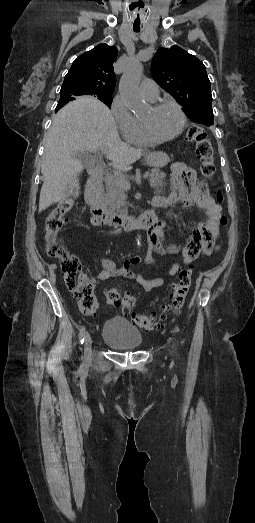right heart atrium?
<instances>
[{
  "label": "right heart atrium",
  "instance_id": "right-heart-atrium-1",
  "mask_svg": "<svg viewBox=\"0 0 255 523\" xmlns=\"http://www.w3.org/2000/svg\"><path fill=\"white\" fill-rule=\"evenodd\" d=\"M109 110L116 128L121 135L125 136L131 126L133 115L128 110L121 95H116L113 98Z\"/></svg>",
  "mask_w": 255,
  "mask_h": 523
}]
</instances>
